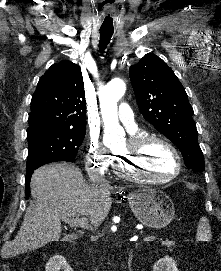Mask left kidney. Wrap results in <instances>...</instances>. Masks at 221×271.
<instances>
[{"mask_svg":"<svg viewBox=\"0 0 221 271\" xmlns=\"http://www.w3.org/2000/svg\"><path fill=\"white\" fill-rule=\"evenodd\" d=\"M153 271H178L177 263L173 257L164 255L153 265Z\"/></svg>","mask_w":221,"mask_h":271,"instance_id":"5707ae66","label":"left kidney"}]
</instances>
